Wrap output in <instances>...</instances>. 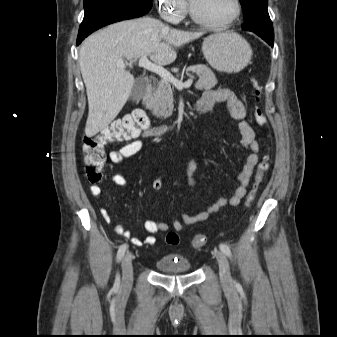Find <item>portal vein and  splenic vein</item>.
Instances as JSON below:
<instances>
[{
  "mask_svg": "<svg viewBox=\"0 0 337 337\" xmlns=\"http://www.w3.org/2000/svg\"><path fill=\"white\" fill-rule=\"evenodd\" d=\"M126 65L127 64H125L123 60H119L117 62V67L119 68H125ZM138 65L139 67H142L144 69H147L151 72L158 74L162 79L172 83L178 90L189 88L193 83L192 78L183 83L181 80L176 79L169 71H167L161 65H157L149 61L147 57H141L139 59Z\"/></svg>",
  "mask_w": 337,
  "mask_h": 337,
  "instance_id": "18ae733b",
  "label": "portal vein and splenic vein"
}]
</instances>
